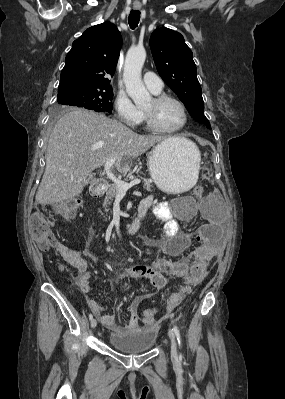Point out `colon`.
Instances as JSON below:
<instances>
[{
	"mask_svg": "<svg viewBox=\"0 0 285 399\" xmlns=\"http://www.w3.org/2000/svg\"><path fill=\"white\" fill-rule=\"evenodd\" d=\"M193 194L196 197H200L203 195V189L201 187H195L193 189ZM81 207V203L76 200L68 201L61 205V207L54 212L51 216H47L43 211H35L29 218L28 226L30 230V234L35 241V243L42 250H50L57 248L58 253L65 264L71 263L73 260V255L67 253L63 250V247L58 243L54 234V218L62 213H66L68 215L74 216L78 209ZM204 271V265L196 263L191 267L190 270V281L198 280ZM187 284L185 285V288ZM159 308L151 307L144 309L142 311V321L144 324H153L156 322L158 317Z\"/></svg>",
	"mask_w": 285,
	"mask_h": 399,
	"instance_id": "obj_1",
	"label": "colon"
}]
</instances>
